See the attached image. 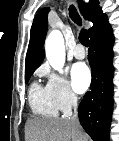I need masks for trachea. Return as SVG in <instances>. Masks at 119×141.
Listing matches in <instances>:
<instances>
[{
    "label": "trachea",
    "instance_id": "1",
    "mask_svg": "<svg viewBox=\"0 0 119 141\" xmlns=\"http://www.w3.org/2000/svg\"><path fill=\"white\" fill-rule=\"evenodd\" d=\"M69 15H70V18L75 23H77L78 25H81V18L79 16V14L77 13V11H76L74 6H70V8H69ZM79 41L85 47H89L90 46V41H89L88 33H87V31L85 29L81 30V32L79 34Z\"/></svg>",
    "mask_w": 119,
    "mask_h": 141
}]
</instances>
